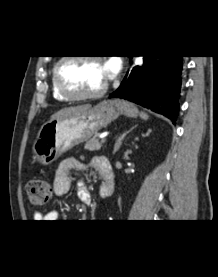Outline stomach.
<instances>
[{
  "label": "stomach",
  "instance_id": "stomach-1",
  "mask_svg": "<svg viewBox=\"0 0 218 277\" xmlns=\"http://www.w3.org/2000/svg\"><path fill=\"white\" fill-rule=\"evenodd\" d=\"M133 104L124 100H105L96 106L71 117L44 123L33 143L34 157L49 165L61 154L97 135L120 115L137 116Z\"/></svg>",
  "mask_w": 218,
  "mask_h": 277
}]
</instances>
